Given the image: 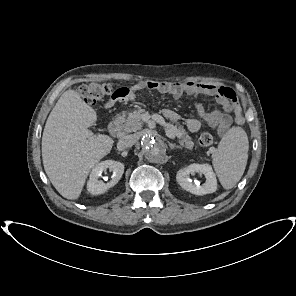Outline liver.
Returning a JSON list of instances; mask_svg holds the SVG:
<instances>
[{
	"mask_svg": "<svg viewBox=\"0 0 296 296\" xmlns=\"http://www.w3.org/2000/svg\"><path fill=\"white\" fill-rule=\"evenodd\" d=\"M96 121V111L72 89L62 94L46 121L43 165L64 198H79L90 170L112 149L111 137L88 129Z\"/></svg>",
	"mask_w": 296,
	"mask_h": 296,
	"instance_id": "liver-1",
	"label": "liver"
}]
</instances>
